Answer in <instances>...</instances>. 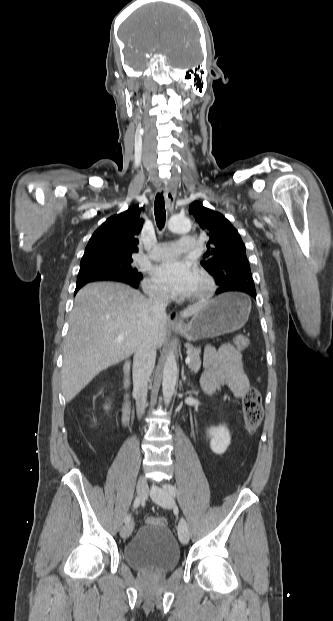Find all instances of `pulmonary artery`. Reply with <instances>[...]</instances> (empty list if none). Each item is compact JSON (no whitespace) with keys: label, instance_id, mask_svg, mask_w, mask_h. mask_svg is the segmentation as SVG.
<instances>
[{"label":"pulmonary artery","instance_id":"1","mask_svg":"<svg viewBox=\"0 0 333 621\" xmlns=\"http://www.w3.org/2000/svg\"><path fill=\"white\" fill-rule=\"evenodd\" d=\"M196 247V239L185 235L178 243L161 242L156 244L147 257L153 260L171 259L181 252H193L196 250Z\"/></svg>","mask_w":333,"mask_h":621}]
</instances>
